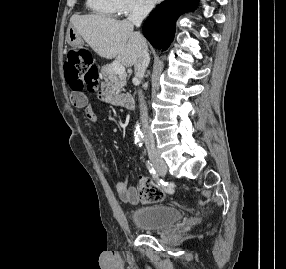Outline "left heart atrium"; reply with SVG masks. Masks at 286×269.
<instances>
[{"instance_id": "obj_1", "label": "left heart atrium", "mask_w": 286, "mask_h": 269, "mask_svg": "<svg viewBox=\"0 0 286 269\" xmlns=\"http://www.w3.org/2000/svg\"><path fill=\"white\" fill-rule=\"evenodd\" d=\"M159 1H161V0H149V2L152 3V4H153V3H157V2H159Z\"/></svg>"}]
</instances>
